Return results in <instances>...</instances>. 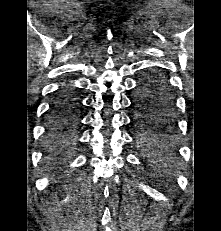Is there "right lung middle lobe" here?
Here are the masks:
<instances>
[{
    "label": "right lung middle lobe",
    "instance_id": "right-lung-middle-lobe-1",
    "mask_svg": "<svg viewBox=\"0 0 221 231\" xmlns=\"http://www.w3.org/2000/svg\"><path fill=\"white\" fill-rule=\"evenodd\" d=\"M79 119L78 105L55 100L49 115L46 142L52 148L70 144Z\"/></svg>",
    "mask_w": 221,
    "mask_h": 231
}]
</instances>
